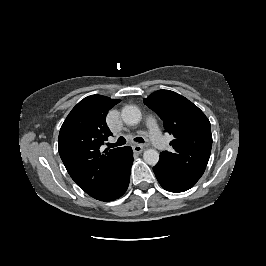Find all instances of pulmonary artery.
Instances as JSON below:
<instances>
[{"label":"pulmonary artery","instance_id":"1","mask_svg":"<svg viewBox=\"0 0 266 266\" xmlns=\"http://www.w3.org/2000/svg\"><path fill=\"white\" fill-rule=\"evenodd\" d=\"M146 125L148 128V137L153 146L157 149H163L166 141L163 137L159 125L153 116H148L146 119Z\"/></svg>","mask_w":266,"mask_h":266}]
</instances>
